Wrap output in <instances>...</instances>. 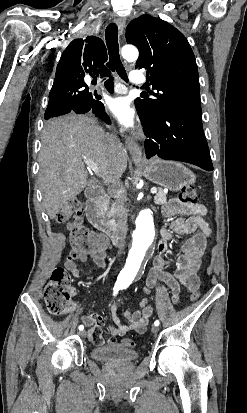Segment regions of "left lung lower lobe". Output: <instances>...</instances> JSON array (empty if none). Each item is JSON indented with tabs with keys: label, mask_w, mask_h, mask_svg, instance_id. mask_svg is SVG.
Here are the masks:
<instances>
[{
	"label": "left lung lower lobe",
	"mask_w": 247,
	"mask_h": 413,
	"mask_svg": "<svg viewBox=\"0 0 247 413\" xmlns=\"http://www.w3.org/2000/svg\"><path fill=\"white\" fill-rule=\"evenodd\" d=\"M142 124L146 136L151 138L145 141L147 158L157 155L213 170L201 117L182 111H164L153 122L142 121Z\"/></svg>",
	"instance_id": "left-lung-lower-lobe-1"
}]
</instances>
